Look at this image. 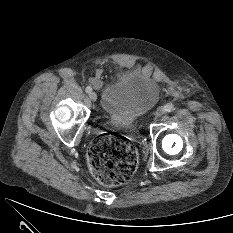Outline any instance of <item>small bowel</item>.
Masks as SVG:
<instances>
[{"instance_id": "1", "label": "small bowel", "mask_w": 233, "mask_h": 233, "mask_svg": "<svg viewBox=\"0 0 233 233\" xmlns=\"http://www.w3.org/2000/svg\"><path fill=\"white\" fill-rule=\"evenodd\" d=\"M92 83H93L95 86H98V85H99V79H97V78L92 79Z\"/></svg>"}]
</instances>
